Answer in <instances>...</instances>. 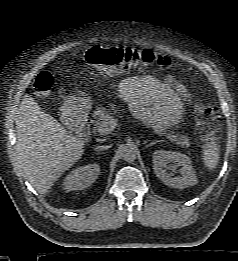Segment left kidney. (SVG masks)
<instances>
[{
    "label": "left kidney",
    "mask_w": 238,
    "mask_h": 261,
    "mask_svg": "<svg viewBox=\"0 0 238 261\" xmlns=\"http://www.w3.org/2000/svg\"><path fill=\"white\" fill-rule=\"evenodd\" d=\"M169 163H175L173 167H181L180 176L172 178L167 173L171 169ZM153 169L156 176L169 187L184 189L197 183L190 158L179 152L156 150L153 154Z\"/></svg>",
    "instance_id": "5707ae66"
}]
</instances>
